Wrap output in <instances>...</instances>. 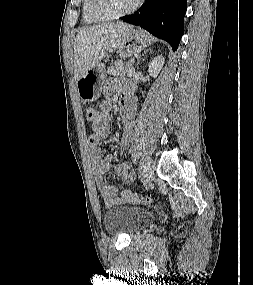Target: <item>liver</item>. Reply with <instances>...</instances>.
<instances>
[{
    "instance_id": "6515ba94",
    "label": "liver",
    "mask_w": 253,
    "mask_h": 285,
    "mask_svg": "<svg viewBox=\"0 0 253 285\" xmlns=\"http://www.w3.org/2000/svg\"><path fill=\"white\" fill-rule=\"evenodd\" d=\"M132 25L117 22L82 29L74 46V77L77 81L121 44Z\"/></svg>"
}]
</instances>
